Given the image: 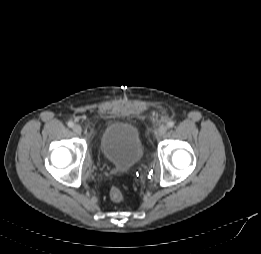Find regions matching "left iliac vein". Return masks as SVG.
<instances>
[{
	"mask_svg": "<svg viewBox=\"0 0 261 254\" xmlns=\"http://www.w3.org/2000/svg\"><path fill=\"white\" fill-rule=\"evenodd\" d=\"M167 132V126L163 125L158 129V132L156 134L157 138H160L162 135H164Z\"/></svg>",
	"mask_w": 261,
	"mask_h": 254,
	"instance_id": "left-iliac-vein-1",
	"label": "left iliac vein"
}]
</instances>
